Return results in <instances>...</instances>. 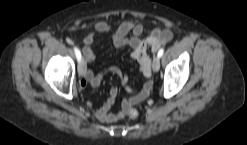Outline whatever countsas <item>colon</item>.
I'll use <instances>...</instances> for the list:
<instances>
[{
	"instance_id": "colon-1",
	"label": "colon",
	"mask_w": 247,
	"mask_h": 145,
	"mask_svg": "<svg viewBox=\"0 0 247 145\" xmlns=\"http://www.w3.org/2000/svg\"><path fill=\"white\" fill-rule=\"evenodd\" d=\"M125 114L128 119L134 120L139 116V111L136 107L130 106Z\"/></svg>"
}]
</instances>
